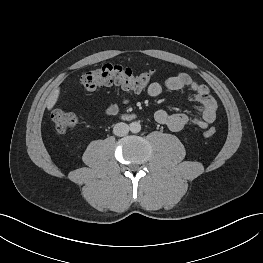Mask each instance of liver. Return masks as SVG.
<instances>
[{
  "label": "liver",
  "mask_w": 263,
  "mask_h": 263,
  "mask_svg": "<svg viewBox=\"0 0 263 263\" xmlns=\"http://www.w3.org/2000/svg\"><path fill=\"white\" fill-rule=\"evenodd\" d=\"M60 94V88H57L51 92L46 100V106L48 110H51L56 104Z\"/></svg>",
  "instance_id": "obj_1"
}]
</instances>
